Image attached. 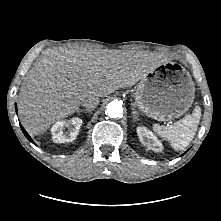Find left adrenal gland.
I'll return each mask as SVG.
<instances>
[{"mask_svg":"<svg viewBox=\"0 0 221 221\" xmlns=\"http://www.w3.org/2000/svg\"><path fill=\"white\" fill-rule=\"evenodd\" d=\"M132 116L134 120H138L137 112L135 111V108L133 106H132Z\"/></svg>","mask_w":221,"mask_h":221,"instance_id":"left-adrenal-gland-1","label":"left adrenal gland"}]
</instances>
